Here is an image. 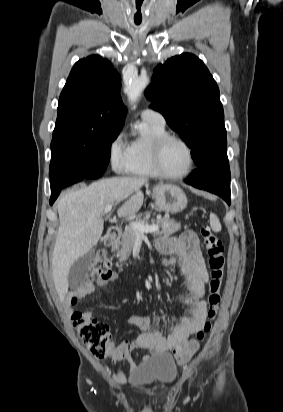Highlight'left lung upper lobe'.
Wrapping results in <instances>:
<instances>
[{
	"instance_id": "1",
	"label": "left lung upper lobe",
	"mask_w": 283,
	"mask_h": 412,
	"mask_svg": "<svg viewBox=\"0 0 283 412\" xmlns=\"http://www.w3.org/2000/svg\"><path fill=\"white\" fill-rule=\"evenodd\" d=\"M146 97L192 149L198 166L210 162L212 152L219 149L227 157L219 88L198 57L184 53L158 65Z\"/></svg>"
}]
</instances>
